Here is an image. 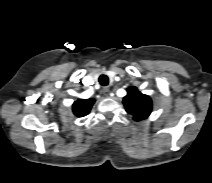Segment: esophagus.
<instances>
[{"label": "esophagus", "instance_id": "obj_1", "mask_svg": "<svg viewBox=\"0 0 212 183\" xmlns=\"http://www.w3.org/2000/svg\"><path fill=\"white\" fill-rule=\"evenodd\" d=\"M102 92H103L105 97H109L110 96V89L108 87H104Z\"/></svg>", "mask_w": 212, "mask_h": 183}]
</instances>
